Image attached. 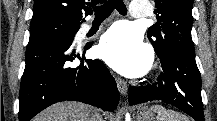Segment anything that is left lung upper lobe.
Listing matches in <instances>:
<instances>
[{
  "instance_id": "1",
  "label": "left lung upper lobe",
  "mask_w": 217,
  "mask_h": 121,
  "mask_svg": "<svg viewBox=\"0 0 217 121\" xmlns=\"http://www.w3.org/2000/svg\"><path fill=\"white\" fill-rule=\"evenodd\" d=\"M158 22L148 29V38L157 55L182 50L195 55L191 28L193 0H154Z\"/></svg>"
}]
</instances>
